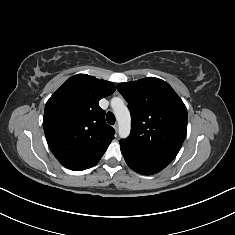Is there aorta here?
Returning a JSON list of instances; mask_svg holds the SVG:
<instances>
[{
	"instance_id": "aorta-1",
	"label": "aorta",
	"mask_w": 235,
	"mask_h": 235,
	"mask_svg": "<svg viewBox=\"0 0 235 235\" xmlns=\"http://www.w3.org/2000/svg\"><path fill=\"white\" fill-rule=\"evenodd\" d=\"M111 107L118 121L119 136L121 138L128 137L131 129V115L123 99L119 97L112 98Z\"/></svg>"
}]
</instances>
